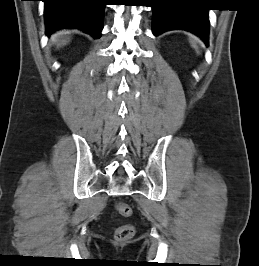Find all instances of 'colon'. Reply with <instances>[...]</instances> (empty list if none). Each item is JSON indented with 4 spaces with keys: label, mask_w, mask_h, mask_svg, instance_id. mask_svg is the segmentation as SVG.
Here are the masks:
<instances>
[{
    "label": "colon",
    "mask_w": 259,
    "mask_h": 266,
    "mask_svg": "<svg viewBox=\"0 0 259 266\" xmlns=\"http://www.w3.org/2000/svg\"><path fill=\"white\" fill-rule=\"evenodd\" d=\"M117 212L123 217H129L132 213L131 207L123 202H119L115 205ZM135 229L130 224H124L119 226L115 231V238L119 241H126L133 237Z\"/></svg>",
    "instance_id": "obj_1"
}]
</instances>
